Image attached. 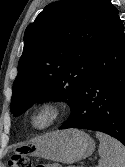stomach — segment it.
<instances>
[{
    "instance_id": "stomach-1",
    "label": "stomach",
    "mask_w": 125,
    "mask_h": 167,
    "mask_svg": "<svg viewBox=\"0 0 125 167\" xmlns=\"http://www.w3.org/2000/svg\"><path fill=\"white\" fill-rule=\"evenodd\" d=\"M94 149L95 142L87 133L67 129L39 136L29 143L20 145L17 151L22 155L72 164L90 156Z\"/></svg>"
}]
</instances>
